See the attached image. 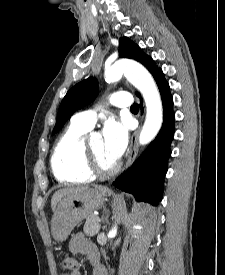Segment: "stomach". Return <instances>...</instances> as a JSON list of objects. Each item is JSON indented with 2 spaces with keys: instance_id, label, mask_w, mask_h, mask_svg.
<instances>
[{
  "instance_id": "1",
  "label": "stomach",
  "mask_w": 225,
  "mask_h": 275,
  "mask_svg": "<svg viewBox=\"0 0 225 275\" xmlns=\"http://www.w3.org/2000/svg\"><path fill=\"white\" fill-rule=\"evenodd\" d=\"M106 188L98 187L68 195L61 199L51 219V233L56 241H64L74 227L102 207Z\"/></svg>"
}]
</instances>
